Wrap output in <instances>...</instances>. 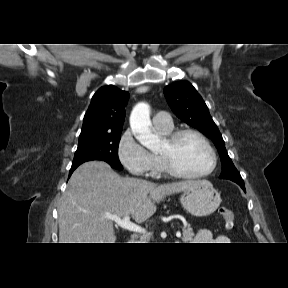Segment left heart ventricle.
Returning a JSON list of instances; mask_svg holds the SVG:
<instances>
[{
    "mask_svg": "<svg viewBox=\"0 0 288 288\" xmlns=\"http://www.w3.org/2000/svg\"><path fill=\"white\" fill-rule=\"evenodd\" d=\"M170 148L166 141L159 149L158 154H166ZM178 166L187 173L199 174L210 169L212 157L206 146L194 136L184 137L173 151Z\"/></svg>",
    "mask_w": 288,
    "mask_h": 288,
    "instance_id": "b2bd125f",
    "label": "left heart ventricle"
}]
</instances>
